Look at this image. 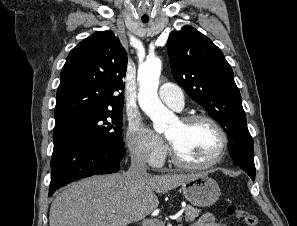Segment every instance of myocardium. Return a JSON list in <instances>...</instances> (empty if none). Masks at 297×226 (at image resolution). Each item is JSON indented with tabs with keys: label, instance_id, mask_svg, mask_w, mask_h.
Wrapping results in <instances>:
<instances>
[{
	"label": "myocardium",
	"instance_id": "myocardium-1",
	"mask_svg": "<svg viewBox=\"0 0 297 226\" xmlns=\"http://www.w3.org/2000/svg\"><path fill=\"white\" fill-rule=\"evenodd\" d=\"M198 121H204L212 125L215 130L218 132L220 138H221V143L220 147L217 151L216 156L211 159L210 161L203 163V164H197V163H191L186 160H184L176 151L174 146L169 142L170 144V159L171 161L178 167L183 168V169H189V170H205L214 167L215 165L219 164L222 159L224 158L226 154V150L228 147L229 143V138L228 135L225 131V129L221 126V124L214 119L213 117L207 115V114H201V113H195V114H188L184 115L180 118V122L182 124H190L193 122H198Z\"/></svg>",
	"mask_w": 297,
	"mask_h": 226
}]
</instances>
